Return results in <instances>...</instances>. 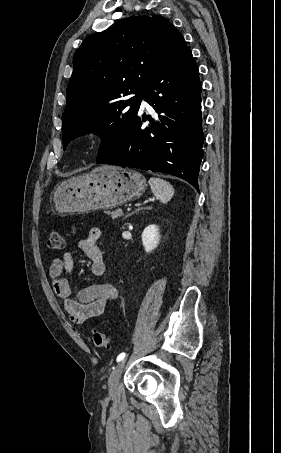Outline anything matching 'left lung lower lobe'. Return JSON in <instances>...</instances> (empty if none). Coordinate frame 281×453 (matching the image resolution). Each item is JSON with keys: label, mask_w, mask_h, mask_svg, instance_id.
<instances>
[{"label": "left lung lower lobe", "mask_w": 281, "mask_h": 453, "mask_svg": "<svg viewBox=\"0 0 281 453\" xmlns=\"http://www.w3.org/2000/svg\"><path fill=\"white\" fill-rule=\"evenodd\" d=\"M201 88L194 58L181 34L176 35L143 97L159 113L160 122L155 123L148 116L151 125L141 129L142 122L136 116L121 139L97 163L169 173L199 190L204 141Z\"/></svg>", "instance_id": "obj_1"}]
</instances>
